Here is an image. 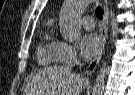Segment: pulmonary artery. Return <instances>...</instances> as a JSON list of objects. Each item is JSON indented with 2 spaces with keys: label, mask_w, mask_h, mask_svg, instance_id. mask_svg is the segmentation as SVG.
Masks as SVG:
<instances>
[{
  "label": "pulmonary artery",
  "mask_w": 135,
  "mask_h": 95,
  "mask_svg": "<svg viewBox=\"0 0 135 95\" xmlns=\"http://www.w3.org/2000/svg\"><path fill=\"white\" fill-rule=\"evenodd\" d=\"M82 24L86 30H92L94 28V19L92 16L86 15L82 18Z\"/></svg>",
  "instance_id": "1"
}]
</instances>
